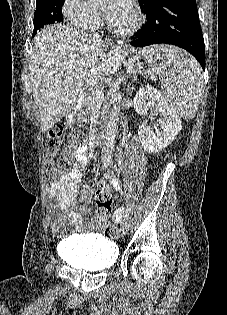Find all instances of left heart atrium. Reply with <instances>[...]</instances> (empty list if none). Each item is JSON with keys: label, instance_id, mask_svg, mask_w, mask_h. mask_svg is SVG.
Segmentation results:
<instances>
[{"label": "left heart atrium", "instance_id": "39dd6f15", "mask_svg": "<svg viewBox=\"0 0 227 315\" xmlns=\"http://www.w3.org/2000/svg\"><path fill=\"white\" fill-rule=\"evenodd\" d=\"M132 11V0H110L106 7L108 18H114Z\"/></svg>", "mask_w": 227, "mask_h": 315}]
</instances>
